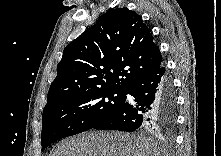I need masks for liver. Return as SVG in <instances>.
<instances>
[{
  "label": "liver",
  "instance_id": "1",
  "mask_svg": "<svg viewBox=\"0 0 221 156\" xmlns=\"http://www.w3.org/2000/svg\"><path fill=\"white\" fill-rule=\"evenodd\" d=\"M52 156H162V147L141 135L89 131L60 142Z\"/></svg>",
  "mask_w": 221,
  "mask_h": 156
}]
</instances>
